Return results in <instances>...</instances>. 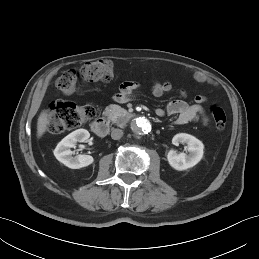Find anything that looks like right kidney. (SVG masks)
Here are the masks:
<instances>
[{
    "mask_svg": "<svg viewBox=\"0 0 259 259\" xmlns=\"http://www.w3.org/2000/svg\"><path fill=\"white\" fill-rule=\"evenodd\" d=\"M90 137V133L85 129H78L63 138L54 150V155L58 161L71 169H79L93 163L94 159L90 155L72 156L70 148H75L77 142H84Z\"/></svg>",
    "mask_w": 259,
    "mask_h": 259,
    "instance_id": "ca27d5eb",
    "label": "right kidney"
}]
</instances>
